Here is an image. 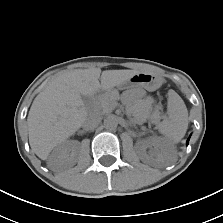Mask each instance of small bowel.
<instances>
[{
  "label": "small bowel",
  "mask_w": 223,
  "mask_h": 223,
  "mask_svg": "<svg viewBox=\"0 0 223 223\" xmlns=\"http://www.w3.org/2000/svg\"><path fill=\"white\" fill-rule=\"evenodd\" d=\"M152 102H153V99H152L151 97L146 98V103H147L148 105H151ZM154 115H156V113H155Z\"/></svg>",
  "instance_id": "1"
}]
</instances>
